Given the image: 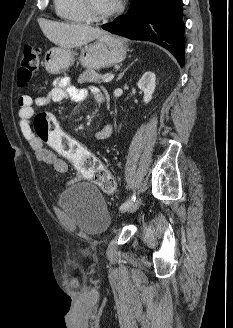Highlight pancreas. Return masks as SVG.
I'll return each instance as SVG.
<instances>
[{"instance_id": "pancreas-1", "label": "pancreas", "mask_w": 233, "mask_h": 328, "mask_svg": "<svg viewBox=\"0 0 233 328\" xmlns=\"http://www.w3.org/2000/svg\"><path fill=\"white\" fill-rule=\"evenodd\" d=\"M105 78V75H101L94 71L93 69H86L81 73V75L78 77L77 81L78 83L82 84L85 82H95L100 83V80Z\"/></svg>"}]
</instances>
